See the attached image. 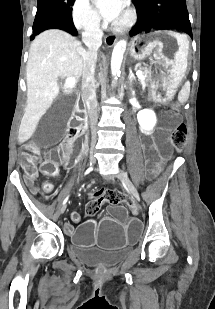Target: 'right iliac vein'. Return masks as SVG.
<instances>
[{"label":"right iliac vein","instance_id":"1","mask_svg":"<svg viewBox=\"0 0 215 309\" xmlns=\"http://www.w3.org/2000/svg\"><path fill=\"white\" fill-rule=\"evenodd\" d=\"M95 163V158L93 155L90 156V159H89V164L90 166L93 165ZM66 210V205H63L60 209V213H64V211Z\"/></svg>","mask_w":215,"mask_h":309}]
</instances>
